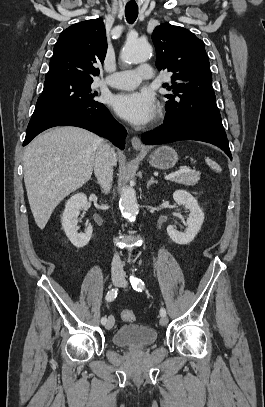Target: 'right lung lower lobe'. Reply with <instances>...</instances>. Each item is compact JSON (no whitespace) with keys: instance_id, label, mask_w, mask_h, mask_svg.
Instances as JSON below:
<instances>
[{"instance_id":"98d812e1","label":"right lung lower lobe","mask_w":265,"mask_h":407,"mask_svg":"<svg viewBox=\"0 0 265 407\" xmlns=\"http://www.w3.org/2000/svg\"><path fill=\"white\" fill-rule=\"evenodd\" d=\"M68 125L92 131L109 139L120 149H124L127 131L112 117L103 104L70 109L29 122L23 146L48 128Z\"/></svg>"}]
</instances>
